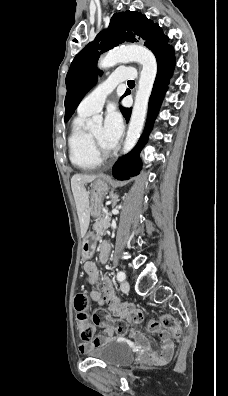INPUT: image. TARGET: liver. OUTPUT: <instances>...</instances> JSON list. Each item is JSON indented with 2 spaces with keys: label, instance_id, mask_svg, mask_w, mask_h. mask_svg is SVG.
Segmentation results:
<instances>
[{
  "label": "liver",
  "instance_id": "obj_1",
  "mask_svg": "<svg viewBox=\"0 0 228 396\" xmlns=\"http://www.w3.org/2000/svg\"><path fill=\"white\" fill-rule=\"evenodd\" d=\"M96 179L94 175L75 174L71 178V188L76 203L77 214L79 217L81 235L84 236L89 226L90 209L89 196L85 189V184Z\"/></svg>",
  "mask_w": 228,
  "mask_h": 396
}]
</instances>
